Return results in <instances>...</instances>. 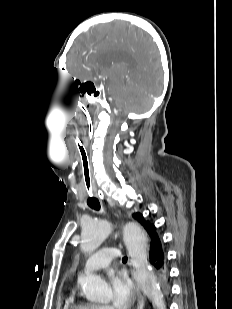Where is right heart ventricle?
Segmentation results:
<instances>
[{
  "instance_id": "obj_1",
  "label": "right heart ventricle",
  "mask_w": 232,
  "mask_h": 309,
  "mask_svg": "<svg viewBox=\"0 0 232 309\" xmlns=\"http://www.w3.org/2000/svg\"><path fill=\"white\" fill-rule=\"evenodd\" d=\"M96 303L89 301L87 299H83L79 297L77 294L72 293L69 297V303L67 305L68 309H98Z\"/></svg>"
}]
</instances>
